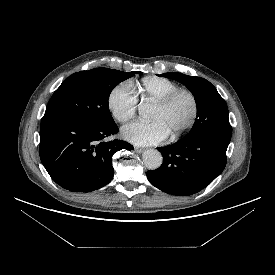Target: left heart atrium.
<instances>
[{"label":"left heart atrium","instance_id":"left-heart-atrium-1","mask_svg":"<svg viewBox=\"0 0 275 275\" xmlns=\"http://www.w3.org/2000/svg\"><path fill=\"white\" fill-rule=\"evenodd\" d=\"M170 133L164 124L158 120L145 122L134 121L122 129V136L125 140L139 146L154 145L163 142Z\"/></svg>","mask_w":275,"mask_h":275}]
</instances>
